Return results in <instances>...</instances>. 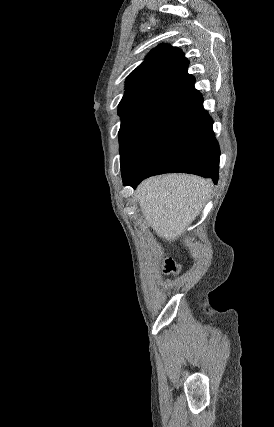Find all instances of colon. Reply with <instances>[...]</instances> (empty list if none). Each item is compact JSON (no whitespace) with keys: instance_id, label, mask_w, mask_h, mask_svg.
<instances>
[{"instance_id":"1","label":"colon","mask_w":274,"mask_h":427,"mask_svg":"<svg viewBox=\"0 0 274 427\" xmlns=\"http://www.w3.org/2000/svg\"><path fill=\"white\" fill-rule=\"evenodd\" d=\"M175 271V265L171 259H165L163 263V273L170 274Z\"/></svg>"}]
</instances>
